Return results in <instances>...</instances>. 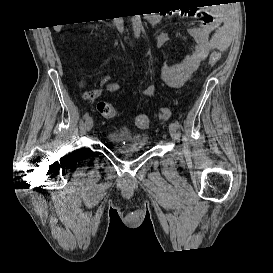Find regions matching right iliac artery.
<instances>
[{
    "mask_svg": "<svg viewBox=\"0 0 273 273\" xmlns=\"http://www.w3.org/2000/svg\"><path fill=\"white\" fill-rule=\"evenodd\" d=\"M88 117H89V113L86 112V113L84 114V119L86 120Z\"/></svg>",
    "mask_w": 273,
    "mask_h": 273,
    "instance_id": "82829eb1",
    "label": "right iliac artery"
}]
</instances>
